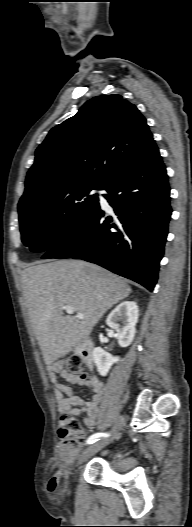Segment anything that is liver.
I'll list each match as a JSON object with an SVG mask.
<instances>
[{
	"label": "liver",
	"instance_id": "6515ba94",
	"mask_svg": "<svg viewBox=\"0 0 192 527\" xmlns=\"http://www.w3.org/2000/svg\"><path fill=\"white\" fill-rule=\"evenodd\" d=\"M23 296L47 365L87 339L93 327L115 304L132 292L120 277L97 265L59 260L21 272ZM71 306L83 319L64 315Z\"/></svg>",
	"mask_w": 192,
	"mask_h": 527
}]
</instances>
